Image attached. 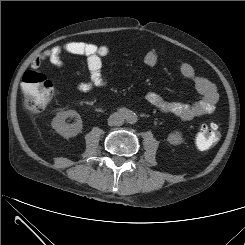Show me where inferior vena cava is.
<instances>
[{
  "label": "inferior vena cava",
  "mask_w": 245,
  "mask_h": 245,
  "mask_svg": "<svg viewBox=\"0 0 245 245\" xmlns=\"http://www.w3.org/2000/svg\"><path fill=\"white\" fill-rule=\"evenodd\" d=\"M124 122V117L120 114H112L108 119V125L110 126H120Z\"/></svg>",
  "instance_id": "1"
}]
</instances>
